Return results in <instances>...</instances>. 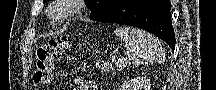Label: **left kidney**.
<instances>
[{"mask_svg":"<svg viewBox=\"0 0 216 90\" xmlns=\"http://www.w3.org/2000/svg\"><path fill=\"white\" fill-rule=\"evenodd\" d=\"M120 90H150V82L147 78H134L124 82Z\"/></svg>","mask_w":216,"mask_h":90,"instance_id":"5707ae66","label":"left kidney"}]
</instances>
